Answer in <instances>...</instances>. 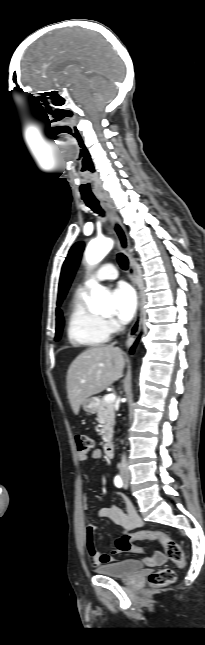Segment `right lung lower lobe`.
<instances>
[{
	"mask_svg": "<svg viewBox=\"0 0 205 645\" xmlns=\"http://www.w3.org/2000/svg\"><path fill=\"white\" fill-rule=\"evenodd\" d=\"M136 343H137V341L135 342V344H134V345H133V347L131 348V350H130V352H131V353H133V352H134V348H135V346H136Z\"/></svg>",
	"mask_w": 205,
	"mask_h": 645,
	"instance_id": "98d812e1",
	"label": "right lung lower lobe"
}]
</instances>
